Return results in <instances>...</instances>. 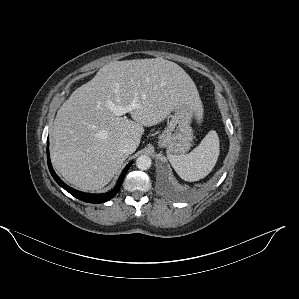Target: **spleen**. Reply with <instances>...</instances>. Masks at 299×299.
<instances>
[{
  "label": "spleen",
  "mask_w": 299,
  "mask_h": 299,
  "mask_svg": "<svg viewBox=\"0 0 299 299\" xmlns=\"http://www.w3.org/2000/svg\"><path fill=\"white\" fill-rule=\"evenodd\" d=\"M219 151V137L216 131L211 130L190 153L168 155V159L181 179L194 182L204 178L212 171Z\"/></svg>",
  "instance_id": "spleen-1"
}]
</instances>
